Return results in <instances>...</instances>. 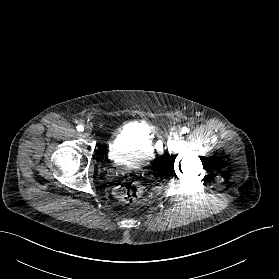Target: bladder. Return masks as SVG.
I'll use <instances>...</instances> for the list:
<instances>
[{
  "label": "bladder",
  "instance_id": "obj_1",
  "mask_svg": "<svg viewBox=\"0 0 279 279\" xmlns=\"http://www.w3.org/2000/svg\"><path fill=\"white\" fill-rule=\"evenodd\" d=\"M108 156L122 168H142L155 157L149 126L131 121L118 128L108 142Z\"/></svg>",
  "mask_w": 279,
  "mask_h": 279
}]
</instances>
